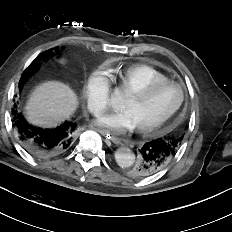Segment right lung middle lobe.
<instances>
[{"mask_svg":"<svg viewBox=\"0 0 232 232\" xmlns=\"http://www.w3.org/2000/svg\"><path fill=\"white\" fill-rule=\"evenodd\" d=\"M50 50L41 53L30 65L29 67L23 72L21 79L19 81V87H22L29 78L39 69L40 62L45 60L48 55L50 54Z\"/></svg>","mask_w":232,"mask_h":232,"instance_id":"right-lung-middle-lobe-1","label":"right lung middle lobe"}]
</instances>
